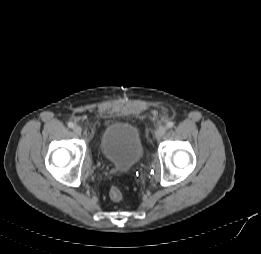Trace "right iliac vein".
I'll return each mask as SVG.
<instances>
[{"mask_svg":"<svg viewBox=\"0 0 261 254\" xmlns=\"http://www.w3.org/2000/svg\"><path fill=\"white\" fill-rule=\"evenodd\" d=\"M73 131L76 135L80 136L82 134V128L79 125L73 127Z\"/></svg>","mask_w":261,"mask_h":254,"instance_id":"obj_1","label":"right iliac vein"}]
</instances>
